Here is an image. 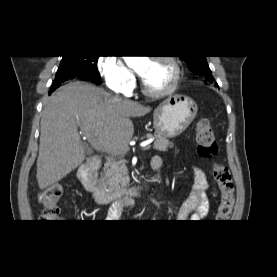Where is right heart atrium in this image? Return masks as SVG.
Instances as JSON below:
<instances>
[{"label": "right heart atrium", "instance_id": "right-heart-atrium-1", "mask_svg": "<svg viewBox=\"0 0 277 277\" xmlns=\"http://www.w3.org/2000/svg\"><path fill=\"white\" fill-rule=\"evenodd\" d=\"M98 69L105 85L112 90L125 92L135 84L133 72L115 53L101 56L98 60Z\"/></svg>", "mask_w": 277, "mask_h": 277}]
</instances>
